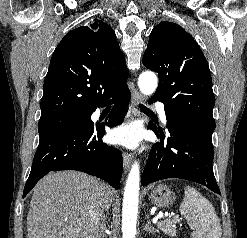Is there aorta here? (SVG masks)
Masks as SVG:
<instances>
[{
  "label": "aorta",
  "mask_w": 247,
  "mask_h": 238,
  "mask_svg": "<svg viewBox=\"0 0 247 238\" xmlns=\"http://www.w3.org/2000/svg\"><path fill=\"white\" fill-rule=\"evenodd\" d=\"M158 80L153 72L145 71L138 79V86L144 95L155 92ZM140 170L139 164L135 162L129 172L123 196L122 210V232L123 238H135L136 222L138 214Z\"/></svg>",
  "instance_id": "obj_1"
}]
</instances>
